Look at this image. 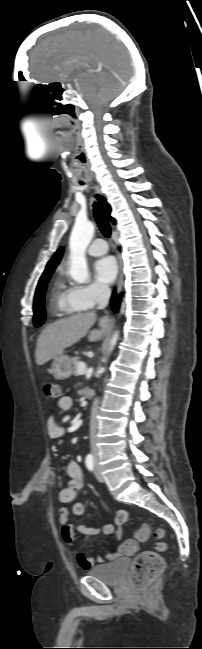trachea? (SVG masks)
<instances>
[{
	"label": "trachea",
	"mask_w": 202,
	"mask_h": 649,
	"mask_svg": "<svg viewBox=\"0 0 202 649\" xmlns=\"http://www.w3.org/2000/svg\"><path fill=\"white\" fill-rule=\"evenodd\" d=\"M93 213H94V217L96 219V222L98 224V227H99L101 233L105 237L110 238V236H111V226H110L106 216L104 215L101 207L97 203L93 204Z\"/></svg>",
	"instance_id": "1"
}]
</instances>
